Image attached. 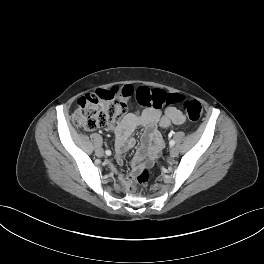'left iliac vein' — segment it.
<instances>
[{"instance_id": "1", "label": "left iliac vein", "mask_w": 264, "mask_h": 264, "mask_svg": "<svg viewBox=\"0 0 264 264\" xmlns=\"http://www.w3.org/2000/svg\"><path fill=\"white\" fill-rule=\"evenodd\" d=\"M179 151H178V148L177 147H172L171 150H170V156L171 157H176L178 155Z\"/></svg>"}]
</instances>
